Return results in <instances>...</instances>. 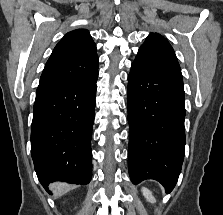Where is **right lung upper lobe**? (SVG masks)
<instances>
[{
  "mask_svg": "<svg viewBox=\"0 0 223 215\" xmlns=\"http://www.w3.org/2000/svg\"><path fill=\"white\" fill-rule=\"evenodd\" d=\"M97 68L96 45L89 32L86 29L68 32L48 59L37 92L78 81Z\"/></svg>",
  "mask_w": 223,
  "mask_h": 215,
  "instance_id": "obj_1",
  "label": "right lung upper lobe"
}]
</instances>
